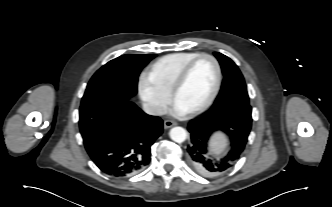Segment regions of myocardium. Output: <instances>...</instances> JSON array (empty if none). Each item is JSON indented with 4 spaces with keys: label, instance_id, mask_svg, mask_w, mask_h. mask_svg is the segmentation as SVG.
Returning a JSON list of instances; mask_svg holds the SVG:
<instances>
[{
    "label": "myocardium",
    "instance_id": "f54148a6",
    "mask_svg": "<svg viewBox=\"0 0 332 207\" xmlns=\"http://www.w3.org/2000/svg\"><path fill=\"white\" fill-rule=\"evenodd\" d=\"M204 58L211 60L212 63L214 64L215 71H216L215 85H214V88H213L210 96L202 105L187 112V114L190 116L198 115V114L204 112L205 110H207L213 104V102L215 101V99L220 91L221 83H222V69H221V65H220L218 59L216 57H214L213 55L207 54V53H201V54L197 55L196 57L191 59L189 62H187V64L181 69V71L177 75V77L172 85L171 91H170L171 99L173 102H175L176 95H177L178 91L181 89V87L184 85L192 67L194 66V64L196 62H198L199 60L204 59Z\"/></svg>",
    "mask_w": 332,
    "mask_h": 207
}]
</instances>
